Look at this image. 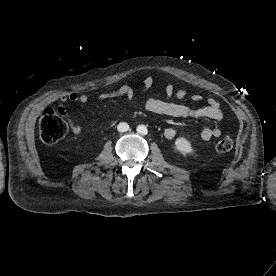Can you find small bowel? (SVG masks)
<instances>
[{"instance_id":"obj_1","label":"small bowel","mask_w":276,"mask_h":276,"mask_svg":"<svg viewBox=\"0 0 276 276\" xmlns=\"http://www.w3.org/2000/svg\"><path fill=\"white\" fill-rule=\"evenodd\" d=\"M153 84V77L147 76L145 78L142 92H146L151 85ZM166 100L150 98L145 103V108L148 112L184 118V117H193V118H207L214 121H221L223 119V112L221 111L218 102L214 98H209L207 104L201 107H190L186 104H183L179 101L184 99L187 95L185 90H178L174 92L173 85L167 83L165 87ZM124 96L128 101L132 100L134 97V91L129 85H124L119 89L111 92H104L99 94L98 98L100 100H109L117 97ZM203 99V96L200 94H195L192 96L191 100L193 102H199ZM89 100L86 94L71 92L66 95H62L59 99L60 101V111L65 113V104L68 102L81 103L85 104ZM70 128L72 132L76 135L81 134V126L72 118H68ZM222 131L218 127L209 128L205 127L200 130V138L204 141H208L211 138L219 137ZM177 135V129L167 128L164 131V137L168 140L173 139Z\"/></svg>"}]
</instances>
